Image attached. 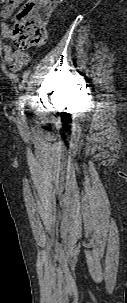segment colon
Here are the masks:
<instances>
[{
	"instance_id": "colon-1",
	"label": "colon",
	"mask_w": 127,
	"mask_h": 303,
	"mask_svg": "<svg viewBox=\"0 0 127 303\" xmlns=\"http://www.w3.org/2000/svg\"><path fill=\"white\" fill-rule=\"evenodd\" d=\"M10 4L13 0H0ZM59 0H27L17 12L11 39L18 49L42 46L47 37V25Z\"/></svg>"
}]
</instances>
